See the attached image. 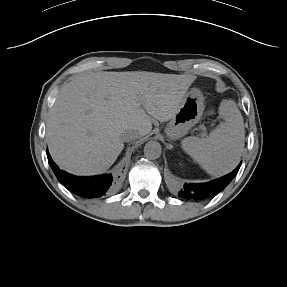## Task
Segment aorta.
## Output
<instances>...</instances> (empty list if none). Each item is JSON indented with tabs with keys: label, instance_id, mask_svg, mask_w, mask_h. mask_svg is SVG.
Here are the masks:
<instances>
[{
	"label": "aorta",
	"instance_id": "1",
	"mask_svg": "<svg viewBox=\"0 0 287 287\" xmlns=\"http://www.w3.org/2000/svg\"><path fill=\"white\" fill-rule=\"evenodd\" d=\"M162 148L159 142L149 141L144 146V155L147 159L155 160L161 156Z\"/></svg>",
	"mask_w": 287,
	"mask_h": 287
}]
</instances>
